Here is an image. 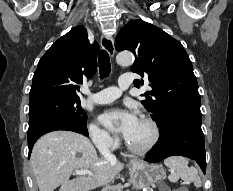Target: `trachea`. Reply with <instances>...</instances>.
Instances as JSON below:
<instances>
[{"label":"trachea","mask_w":233,"mask_h":191,"mask_svg":"<svg viewBox=\"0 0 233 191\" xmlns=\"http://www.w3.org/2000/svg\"><path fill=\"white\" fill-rule=\"evenodd\" d=\"M100 78L103 79L110 74V58L106 50H101L98 55Z\"/></svg>","instance_id":"1"}]
</instances>
